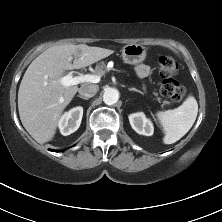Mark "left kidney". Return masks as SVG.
Masks as SVG:
<instances>
[{
  "label": "left kidney",
  "mask_w": 222,
  "mask_h": 222,
  "mask_svg": "<svg viewBox=\"0 0 222 222\" xmlns=\"http://www.w3.org/2000/svg\"><path fill=\"white\" fill-rule=\"evenodd\" d=\"M129 121L132 128L141 135L151 136L154 132L152 122L146 118L142 112L129 115Z\"/></svg>",
  "instance_id": "5707ae66"
}]
</instances>
